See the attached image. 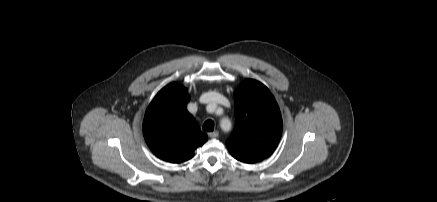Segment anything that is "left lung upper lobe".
<instances>
[{
  "label": "left lung upper lobe",
  "instance_id": "obj_1",
  "mask_svg": "<svg viewBox=\"0 0 437 202\" xmlns=\"http://www.w3.org/2000/svg\"><path fill=\"white\" fill-rule=\"evenodd\" d=\"M235 129L226 142L234 158L255 163L269 157L282 134L278 104L262 83L248 79L234 92Z\"/></svg>",
  "mask_w": 437,
  "mask_h": 202
}]
</instances>
